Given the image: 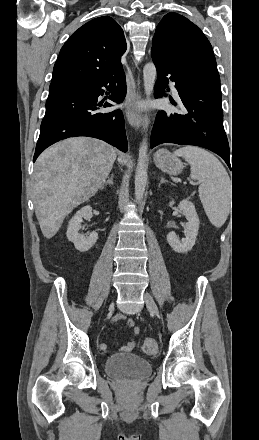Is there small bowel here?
<instances>
[{"label": "small bowel", "mask_w": 259, "mask_h": 440, "mask_svg": "<svg viewBox=\"0 0 259 440\" xmlns=\"http://www.w3.org/2000/svg\"><path fill=\"white\" fill-rule=\"evenodd\" d=\"M122 320H124V316H123L122 314H119V315H117V316L114 318V322H115V323H118V322H120V321H122ZM124 326H125L126 328H132V327L135 326V322H134V320H132V319H128V320L125 321ZM134 332H135V334H137V333L139 332V328H138V327H135V328H134ZM133 347H134V342H129L126 346L122 347L121 350H122V351H129V350H131ZM101 349L106 350V349H107V345L104 344V343L101 344Z\"/></svg>", "instance_id": "1"}]
</instances>
